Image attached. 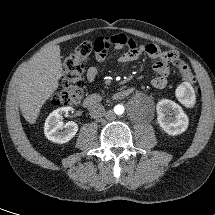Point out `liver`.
Returning a JSON list of instances; mask_svg holds the SVG:
<instances>
[{"instance_id":"6515ba94","label":"liver","mask_w":215,"mask_h":215,"mask_svg":"<svg viewBox=\"0 0 215 215\" xmlns=\"http://www.w3.org/2000/svg\"><path fill=\"white\" fill-rule=\"evenodd\" d=\"M62 75L60 47L42 48L15 77L20 110L34 124L44 103L58 88Z\"/></svg>"}]
</instances>
